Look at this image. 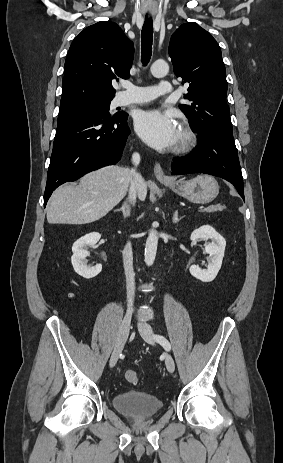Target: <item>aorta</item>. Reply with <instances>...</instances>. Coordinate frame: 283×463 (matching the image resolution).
I'll list each match as a JSON object with an SVG mask.
<instances>
[{
  "label": "aorta",
  "mask_w": 283,
  "mask_h": 463,
  "mask_svg": "<svg viewBox=\"0 0 283 463\" xmlns=\"http://www.w3.org/2000/svg\"><path fill=\"white\" fill-rule=\"evenodd\" d=\"M150 71L154 77L162 78L168 74L169 66L165 61H156L151 65ZM154 228L155 225H153L152 230L149 232L145 245L144 256L147 266L153 265L157 252L158 236Z\"/></svg>",
  "instance_id": "aorta-1"
}]
</instances>
